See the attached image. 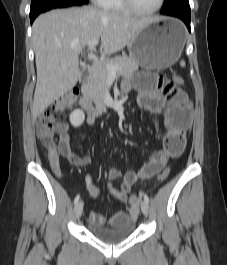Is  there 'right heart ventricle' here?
I'll use <instances>...</instances> for the list:
<instances>
[{
    "label": "right heart ventricle",
    "instance_id": "1",
    "mask_svg": "<svg viewBox=\"0 0 227 265\" xmlns=\"http://www.w3.org/2000/svg\"><path fill=\"white\" fill-rule=\"evenodd\" d=\"M103 7L113 12H128L122 3V0H106Z\"/></svg>",
    "mask_w": 227,
    "mask_h": 265
}]
</instances>
